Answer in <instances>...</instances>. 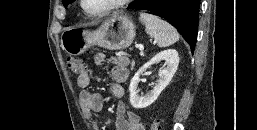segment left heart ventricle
<instances>
[{
    "mask_svg": "<svg viewBox=\"0 0 257 130\" xmlns=\"http://www.w3.org/2000/svg\"><path fill=\"white\" fill-rule=\"evenodd\" d=\"M116 0H85V7L89 12H100L114 3Z\"/></svg>",
    "mask_w": 257,
    "mask_h": 130,
    "instance_id": "b2bd125f",
    "label": "left heart ventricle"
}]
</instances>
